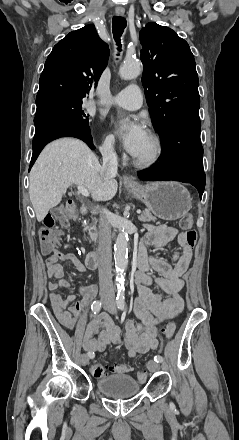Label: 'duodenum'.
<instances>
[{"instance_id":"410a0bca","label":"duodenum","mask_w":239,"mask_h":440,"mask_svg":"<svg viewBox=\"0 0 239 440\" xmlns=\"http://www.w3.org/2000/svg\"><path fill=\"white\" fill-rule=\"evenodd\" d=\"M90 212V207L86 204L81 206V213L87 215ZM98 255L95 251H90L86 256V266L89 269H95L98 266Z\"/></svg>"}]
</instances>
